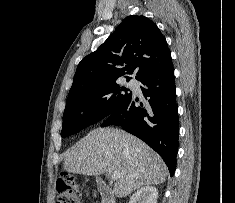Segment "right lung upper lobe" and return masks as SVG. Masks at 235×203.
Listing matches in <instances>:
<instances>
[{
    "instance_id": "1",
    "label": "right lung upper lobe",
    "mask_w": 235,
    "mask_h": 203,
    "mask_svg": "<svg viewBox=\"0 0 235 203\" xmlns=\"http://www.w3.org/2000/svg\"><path fill=\"white\" fill-rule=\"evenodd\" d=\"M171 61L166 39L155 23L147 17L131 15L95 52L82 59L69 93L117 80L134 71L137 72L135 78L139 80Z\"/></svg>"
}]
</instances>
